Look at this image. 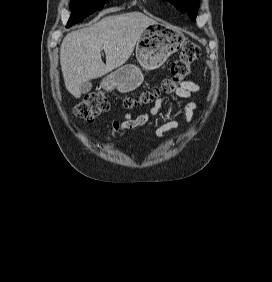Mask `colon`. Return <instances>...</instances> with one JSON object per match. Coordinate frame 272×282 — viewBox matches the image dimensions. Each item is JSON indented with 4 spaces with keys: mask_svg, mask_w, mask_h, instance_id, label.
I'll use <instances>...</instances> for the list:
<instances>
[{
    "mask_svg": "<svg viewBox=\"0 0 272 282\" xmlns=\"http://www.w3.org/2000/svg\"><path fill=\"white\" fill-rule=\"evenodd\" d=\"M201 55V48L197 44L189 40L183 41L179 57L171 67V75L162 80L159 86L143 93L137 99H127L125 101L126 107L133 108L137 104H151L161 94H173L189 76L190 65L198 61ZM110 107V99L103 93L95 92L88 95L76 106L75 113L78 117L91 121L101 113L109 110Z\"/></svg>",
    "mask_w": 272,
    "mask_h": 282,
    "instance_id": "5ec220e1",
    "label": "colon"
}]
</instances>
